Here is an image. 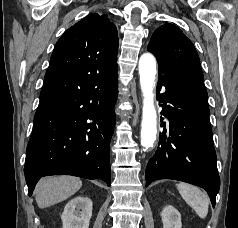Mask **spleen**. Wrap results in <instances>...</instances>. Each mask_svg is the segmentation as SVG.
Instances as JSON below:
<instances>
[{"mask_svg":"<svg viewBox=\"0 0 238 228\" xmlns=\"http://www.w3.org/2000/svg\"><path fill=\"white\" fill-rule=\"evenodd\" d=\"M177 189L185 202L204 219L208 214L209 197L205 191L188 183L177 184Z\"/></svg>","mask_w":238,"mask_h":228,"instance_id":"spleen-1","label":"spleen"}]
</instances>
